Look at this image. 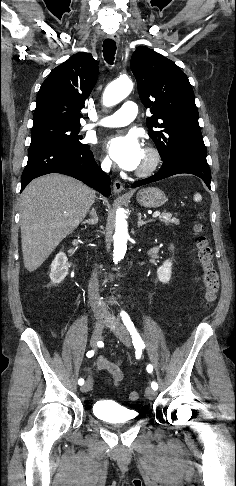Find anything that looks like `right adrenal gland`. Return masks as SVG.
<instances>
[{
	"mask_svg": "<svg viewBox=\"0 0 236 486\" xmlns=\"http://www.w3.org/2000/svg\"><path fill=\"white\" fill-rule=\"evenodd\" d=\"M91 218L82 222V224L96 225L98 223V217L94 208L90 212Z\"/></svg>",
	"mask_w": 236,
	"mask_h": 486,
	"instance_id": "2a0ac1e0",
	"label": "right adrenal gland"
}]
</instances>
